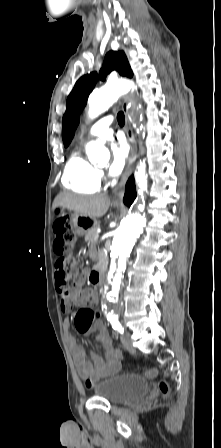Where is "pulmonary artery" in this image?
<instances>
[{
    "instance_id": "obj_1",
    "label": "pulmonary artery",
    "mask_w": 221,
    "mask_h": 448,
    "mask_svg": "<svg viewBox=\"0 0 221 448\" xmlns=\"http://www.w3.org/2000/svg\"><path fill=\"white\" fill-rule=\"evenodd\" d=\"M112 120V116H105L96 121L86 132L85 136L83 137V141H87L95 137L110 139L113 134L112 129H110L109 127Z\"/></svg>"
}]
</instances>
